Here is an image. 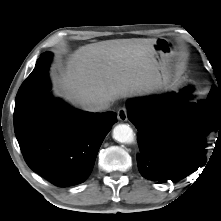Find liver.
<instances>
[{"mask_svg": "<svg viewBox=\"0 0 221 221\" xmlns=\"http://www.w3.org/2000/svg\"><path fill=\"white\" fill-rule=\"evenodd\" d=\"M155 43L154 38H132L82 46L69 56L58 88L82 108L101 99L111 103L149 94L160 84Z\"/></svg>", "mask_w": 221, "mask_h": 221, "instance_id": "6515ba94", "label": "liver"}]
</instances>
